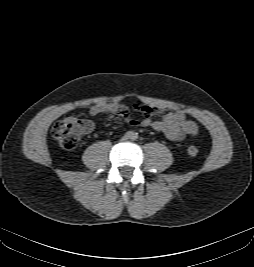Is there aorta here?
Wrapping results in <instances>:
<instances>
[{
	"label": "aorta",
	"instance_id": "1",
	"mask_svg": "<svg viewBox=\"0 0 254 267\" xmlns=\"http://www.w3.org/2000/svg\"><path fill=\"white\" fill-rule=\"evenodd\" d=\"M136 137H137L136 134L135 133H132L131 138L132 139H135Z\"/></svg>",
	"mask_w": 254,
	"mask_h": 267
}]
</instances>
